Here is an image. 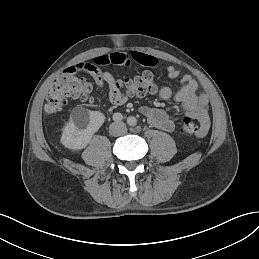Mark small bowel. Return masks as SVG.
Instances as JSON below:
<instances>
[{"mask_svg": "<svg viewBox=\"0 0 259 259\" xmlns=\"http://www.w3.org/2000/svg\"><path fill=\"white\" fill-rule=\"evenodd\" d=\"M133 63L143 65L145 67H154L158 60L152 55L140 52H114L102 55L95 59V63L82 62L72 65L65 72L77 73L85 72L89 74L100 89H104L108 84L110 87V99L115 105H123L130 98L125 95L120 98L112 96L114 89L115 77L113 73L106 69L99 68V65H120L129 66ZM168 77L172 80L179 78L181 88L177 92H173L169 87H161L158 91L159 97L163 100H173L182 105L186 116L196 119L200 123V130L197 136H204L210 127V119L208 115V96L203 92H198V84L190 75L180 77V72L174 66L167 67ZM141 113L147 118L148 122L163 131L173 132L176 129V123L167 113L157 107L143 106L140 108Z\"/></svg>", "mask_w": 259, "mask_h": 259, "instance_id": "obj_1", "label": "small bowel"}]
</instances>
